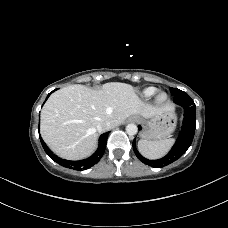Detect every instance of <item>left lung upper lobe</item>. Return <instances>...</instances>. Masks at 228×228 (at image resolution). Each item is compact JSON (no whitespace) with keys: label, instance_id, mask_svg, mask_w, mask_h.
Masks as SVG:
<instances>
[{"label":"left lung upper lobe","instance_id":"1","mask_svg":"<svg viewBox=\"0 0 228 228\" xmlns=\"http://www.w3.org/2000/svg\"><path fill=\"white\" fill-rule=\"evenodd\" d=\"M170 92L174 95V98H185L186 96H188L187 93L177 88L170 87Z\"/></svg>","mask_w":228,"mask_h":228}]
</instances>
